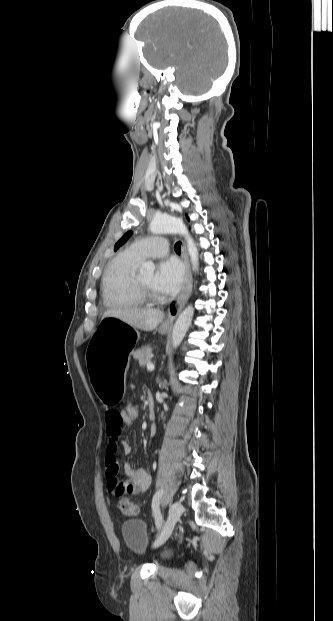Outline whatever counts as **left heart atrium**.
Returning a JSON list of instances; mask_svg holds the SVG:
<instances>
[{"instance_id":"1","label":"left heart atrium","mask_w":333,"mask_h":621,"mask_svg":"<svg viewBox=\"0 0 333 621\" xmlns=\"http://www.w3.org/2000/svg\"><path fill=\"white\" fill-rule=\"evenodd\" d=\"M184 281V269L175 259L162 261L154 274V285L163 294H174L179 291Z\"/></svg>"}]
</instances>
